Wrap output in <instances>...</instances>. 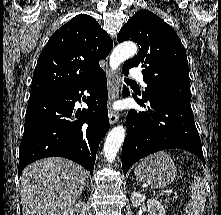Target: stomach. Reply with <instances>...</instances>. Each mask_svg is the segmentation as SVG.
Returning a JSON list of instances; mask_svg holds the SVG:
<instances>
[{
	"mask_svg": "<svg viewBox=\"0 0 221 215\" xmlns=\"http://www.w3.org/2000/svg\"><path fill=\"white\" fill-rule=\"evenodd\" d=\"M136 179L153 188H163L177 175V169L166 152L155 153L143 159L135 168Z\"/></svg>",
	"mask_w": 221,
	"mask_h": 215,
	"instance_id": "1",
	"label": "stomach"
}]
</instances>
